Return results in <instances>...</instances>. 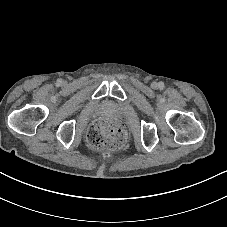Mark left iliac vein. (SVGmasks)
Instances as JSON below:
<instances>
[{"mask_svg":"<svg viewBox=\"0 0 227 227\" xmlns=\"http://www.w3.org/2000/svg\"><path fill=\"white\" fill-rule=\"evenodd\" d=\"M151 86H152L153 88H158L157 82H152V83H151Z\"/></svg>","mask_w":227,"mask_h":227,"instance_id":"4c4485c4","label":"left iliac vein"}]
</instances>
